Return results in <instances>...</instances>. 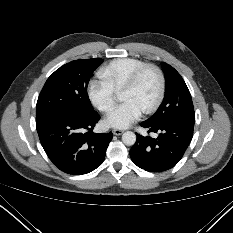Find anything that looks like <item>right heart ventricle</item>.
Wrapping results in <instances>:
<instances>
[{"label": "right heart ventricle", "instance_id": "e07e8e85", "mask_svg": "<svg viewBox=\"0 0 233 233\" xmlns=\"http://www.w3.org/2000/svg\"><path fill=\"white\" fill-rule=\"evenodd\" d=\"M144 64L142 60L132 57L113 59L98 71V76L108 83L114 91H119L130 76Z\"/></svg>", "mask_w": 233, "mask_h": 233}]
</instances>
